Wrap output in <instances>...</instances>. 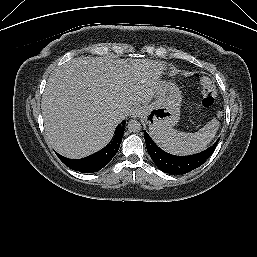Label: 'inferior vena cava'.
<instances>
[{"label": "inferior vena cava", "instance_id": "602c4592", "mask_svg": "<svg viewBox=\"0 0 257 257\" xmlns=\"http://www.w3.org/2000/svg\"><path fill=\"white\" fill-rule=\"evenodd\" d=\"M116 118L118 120H123L125 118V115L123 113H117Z\"/></svg>", "mask_w": 257, "mask_h": 257}]
</instances>
